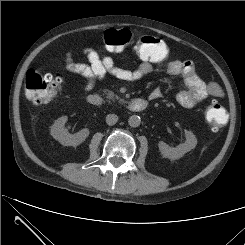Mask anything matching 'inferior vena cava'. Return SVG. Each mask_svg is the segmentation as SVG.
Returning <instances> with one entry per match:
<instances>
[{"instance_id": "1", "label": "inferior vena cava", "mask_w": 245, "mask_h": 245, "mask_svg": "<svg viewBox=\"0 0 245 245\" xmlns=\"http://www.w3.org/2000/svg\"><path fill=\"white\" fill-rule=\"evenodd\" d=\"M118 121V116L115 114H108L106 116V123L110 126L116 124Z\"/></svg>"}]
</instances>
